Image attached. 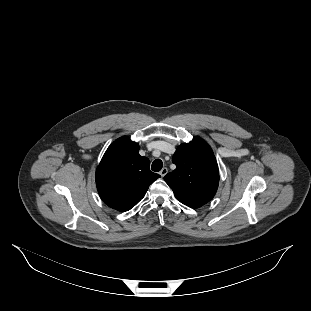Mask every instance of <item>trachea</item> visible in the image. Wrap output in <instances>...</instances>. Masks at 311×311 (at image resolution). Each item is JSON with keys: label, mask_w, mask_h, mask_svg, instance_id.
<instances>
[{"label": "trachea", "mask_w": 311, "mask_h": 311, "mask_svg": "<svg viewBox=\"0 0 311 311\" xmlns=\"http://www.w3.org/2000/svg\"><path fill=\"white\" fill-rule=\"evenodd\" d=\"M163 167V162L160 159H156L153 163H152V170L154 172H158L162 169Z\"/></svg>", "instance_id": "obj_1"}]
</instances>
